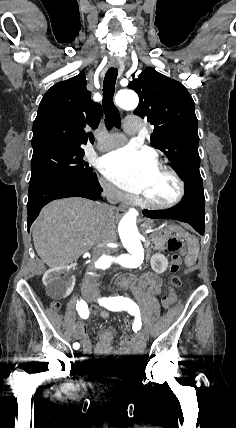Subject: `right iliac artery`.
Listing matches in <instances>:
<instances>
[{
	"mask_svg": "<svg viewBox=\"0 0 236 428\" xmlns=\"http://www.w3.org/2000/svg\"><path fill=\"white\" fill-rule=\"evenodd\" d=\"M76 306H77L76 309H77L80 317L83 319H87L89 317V310H88V305L86 304V302L84 300H80V301L77 300ZM79 347H80V344L78 342L73 344V348L75 350L79 349Z\"/></svg>",
	"mask_w": 236,
	"mask_h": 428,
	"instance_id": "82829eb1",
	"label": "right iliac artery"
}]
</instances>
